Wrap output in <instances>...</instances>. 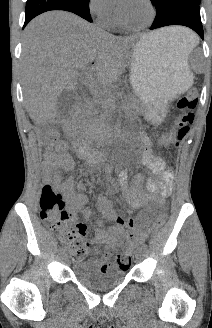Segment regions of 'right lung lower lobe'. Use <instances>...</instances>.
<instances>
[{
    "instance_id": "1",
    "label": "right lung lower lobe",
    "mask_w": 212,
    "mask_h": 328,
    "mask_svg": "<svg viewBox=\"0 0 212 328\" xmlns=\"http://www.w3.org/2000/svg\"><path fill=\"white\" fill-rule=\"evenodd\" d=\"M90 0H27L25 9V27L35 16L50 10H64L92 22L89 11Z\"/></svg>"
}]
</instances>
